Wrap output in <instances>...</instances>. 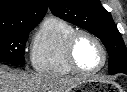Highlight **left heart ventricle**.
Listing matches in <instances>:
<instances>
[{
	"label": "left heart ventricle",
	"instance_id": "b2bd125f",
	"mask_svg": "<svg viewBox=\"0 0 127 92\" xmlns=\"http://www.w3.org/2000/svg\"><path fill=\"white\" fill-rule=\"evenodd\" d=\"M75 58L85 70H94L102 63V53L97 44L87 36L78 39L75 46Z\"/></svg>",
	"mask_w": 127,
	"mask_h": 92
}]
</instances>
